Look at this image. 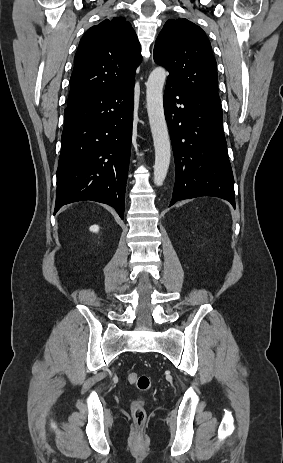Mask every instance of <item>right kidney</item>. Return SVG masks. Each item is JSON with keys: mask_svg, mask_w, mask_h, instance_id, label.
Listing matches in <instances>:
<instances>
[{"mask_svg": "<svg viewBox=\"0 0 283 463\" xmlns=\"http://www.w3.org/2000/svg\"><path fill=\"white\" fill-rule=\"evenodd\" d=\"M89 230L91 232L97 233L99 231V226L98 225H92Z\"/></svg>", "mask_w": 283, "mask_h": 463, "instance_id": "obj_1", "label": "right kidney"}]
</instances>
